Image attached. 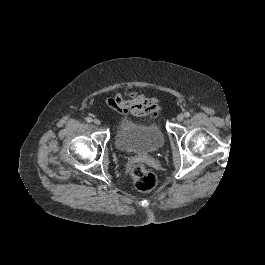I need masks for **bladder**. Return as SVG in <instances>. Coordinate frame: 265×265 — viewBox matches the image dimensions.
Returning a JSON list of instances; mask_svg holds the SVG:
<instances>
[{
    "label": "bladder",
    "instance_id": "1",
    "mask_svg": "<svg viewBox=\"0 0 265 265\" xmlns=\"http://www.w3.org/2000/svg\"><path fill=\"white\" fill-rule=\"evenodd\" d=\"M118 149L127 153L153 154L164 143V133L158 123L141 126L135 123L121 124L114 136Z\"/></svg>",
    "mask_w": 265,
    "mask_h": 265
}]
</instances>
